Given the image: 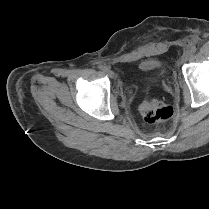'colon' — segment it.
I'll use <instances>...</instances> for the list:
<instances>
[{"mask_svg":"<svg viewBox=\"0 0 209 209\" xmlns=\"http://www.w3.org/2000/svg\"><path fill=\"white\" fill-rule=\"evenodd\" d=\"M140 113L149 124L167 122L173 115V109L156 99H146L140 105Z\"/></svg>","mask_w":209,"mask_h":209,"instance_id":"1","label":"colon"}]
</instances>
